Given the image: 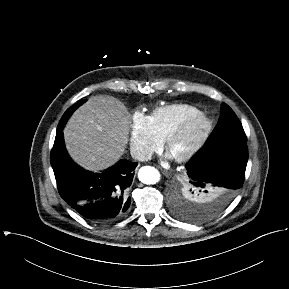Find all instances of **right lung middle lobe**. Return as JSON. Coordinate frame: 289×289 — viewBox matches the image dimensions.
Wrapping results in <instances>:
<instances>
[{
	"instance_id": "right-lung-middle-lobe-1",
	"label": "right lung middle lobe",
	"mask_w": 289,
	"mask_h": 289,
	"mask_svg": "<svg viewBox=\"0 0 289 289\" xmlns=\"http://www.w3.org/2000/svg\"><path fill=\"white\" fill-rule=\"evenodd\" d=\"M86 100H81L80 102L76 103L75 105H73L72 107H70L69 109L66 110V112L64 113V115L62 116L57 130L61 129L64 127L66 121L68 120V118L70 117V115L74 112V110H76L81 104H83Z\"/></svg>"
}]
</instances>
